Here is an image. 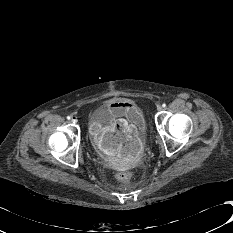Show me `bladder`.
<instances>
[{
  "label": "bladder",
  "mask_w": 233,
  "mask_h": 233,
  "mask_svg": "<svg viewBox=\"0 0 233 233\" xmlns=\"http://www.w3.org/2000/svg\"><path fill=\"white\" fill-rule=\"evenodd\" d=\"M126 117L133 121L134 118L126 114ZM92 122H96L103 127H110L114 121V115L107 106H101L95 110L91 118Z\"/></svg>",
  "instance_id": "obj_1"
}]
</instances>
